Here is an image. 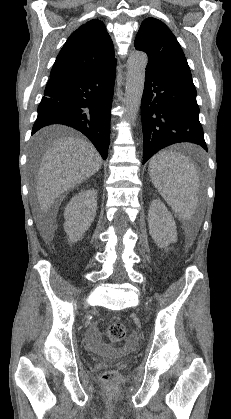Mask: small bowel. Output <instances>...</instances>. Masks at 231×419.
<instances>
[{
    "instance_id": "small-bowel-1",
    "label": "small bowel",
    "mask_w": 231,
    "mask_h": 419,
    "mask_svg": "<svg viewBox=\"0 0 231 419\" xmlns=\"http://www.w3.org/2000/svg\"><path fill=\"white\" fill-rule=\"evenodd\" d=\"M131 340L134 341L135 339L132 338ZM88 344L91 349L99 350V331L96 325H92L88 331Z\"/></svg>"
}]
</instances>
